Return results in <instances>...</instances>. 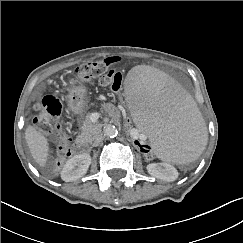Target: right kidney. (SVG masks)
Here are the masks:
<instances>
[{"instance_id": "ca27d5eb", "label": "right kidney", "mask_w": 243, "mask_h": 243, "mask_svg": "<svg viewBox=\"0 0 243 243\" xmlns=\"http://www.w3.org/2000/svg\"><path fill=\"white\" fill-rule=\"evenodd\" d=\"M91 164V156L87 153L75 155L64 165L61 178L66 182L83 177Z\"/></svg>"}]
</instances>
